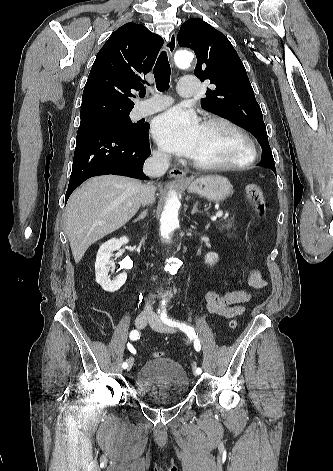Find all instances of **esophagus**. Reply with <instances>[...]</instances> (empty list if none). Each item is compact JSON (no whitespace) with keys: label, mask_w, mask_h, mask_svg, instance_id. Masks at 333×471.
Instances as JSON below:
<instances>
[{"label":"esophagus","mask_w":333,"mask_h":471,"mask_svg":"<svg viewBox=\"0 0 333 471\" xmlns=\"http://www.w3.org/2000/svg\"><path fill=\"white\" fill-rule=\"evenodd\" d=\"M176 46H177L176 33L172 32L168 42L164 46V50L170 59H172L173 57ZM169 175L178 181H181V182L187 181L185 172L182 169H179L177 167L171 168L169 170Z\"/></svg>","instance_id":"34e87169"}]
</instances>
